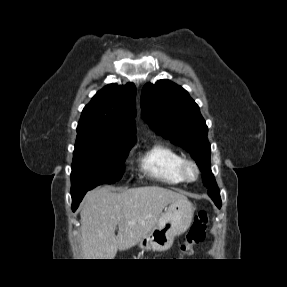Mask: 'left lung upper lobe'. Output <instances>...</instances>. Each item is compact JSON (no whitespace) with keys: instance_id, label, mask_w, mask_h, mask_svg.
Instances as JSON below:
<instances>
[{"instance_id":"1","label":"left lung upper lobe","mask_w":287,"mask_h":287,"mask_svg":"<svg viewBox=\"0 0 287 287\" xmlns=\"http://www.w3.org/2000/svg\"><path fill=\"white\" fill-rule=\"evenodd\" d=\"M141 107L145 121L153 130L191 154L202 171L208 195L216 206H221L219 188L210 168L208 128L188 92L166 79L147 83L142 89Z\"/></svg>"}]
</instances>
